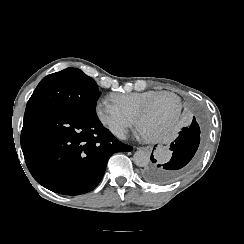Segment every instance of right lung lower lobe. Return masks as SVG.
<instances>
[{
    "mask_svg": "<svg viewBox=\"0 0 244 244\" xmlns=\"http://www.w3.org/2000/svg\"><path fill=\"white\" fill-rule=\"evenodd\" d=\"M21 147L34 179L65 195L93 190L112 154L132 150L104 128L97 117L50 105L26 107Z\"/></svg>",
    "mask_w": 244,
    "mask_h": 244,
    "instance_id": "right-lung-lower-lobe-1",
    "label": "right lung lower lobe"
}]
</instances>
